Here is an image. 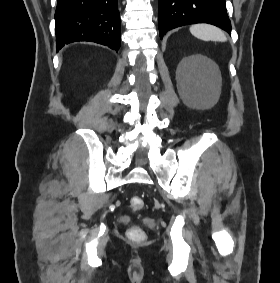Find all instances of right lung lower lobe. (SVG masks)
I'll return each instance as SVG.
<instances>
[{
  "mask_svg": "<svg viewBox=\"0 0 280 283\" xmlns=\"http://www.w3.org/2000/svg\"><path fill=\"white\" fill-rule=\"evenodd\" d=\"M55 30L57 51L77 41L96 42L118 51V0H58Z\"/></svg>",
  "mask_w": 280,
  "mask_h": 283,
  "instance_id": "1",
  "label": "right lung lower lobe"
}]
</instances>
